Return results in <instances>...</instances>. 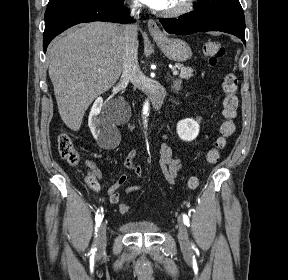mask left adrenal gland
<instances>
[{
	"instance_id": "left-adrenal-gland-1",
	"label": "left adrenal gland",
	"mask_w": 288,
	"mask_h": 280,
	"mask_svg": "<svg viewBox=\"0 0 288 280\" xmlns=\"http://www.w3.org/2000/svg\"><path fill=\"white\" fill-rule=\"evenodd\" d=\"M181 86V81L180 80H173V85L172 88L175 90V92H178Z\"/></svg>"
}]
</instances>
